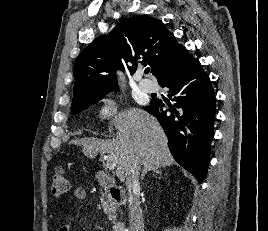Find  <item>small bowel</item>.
I'll list each match as a JSON object with an SVG mask.
<instances>
[{
	"label": "small bowel",
	"instance_id": "small-bowel-1",
	"mask_svg": "<svg viewBox=\"0 0 268 231\" xmlns=\"http://www.w3.org/2000/svg\"><path fill=\"white\" fill-rule=\"evenodd\" d=\"M73 198L78 201H83L86 198V189L82 186H76L72 190ZM71 224L68 221H63L59 231H71Z\"/></svg>",
	"mask_w": 268,
	"mask_h": 231
}]
</instances>
